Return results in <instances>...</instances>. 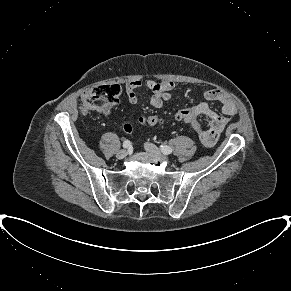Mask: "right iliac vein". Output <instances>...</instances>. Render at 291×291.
<instances>
[{
    "instance_id": "right-iliac-vein-1",
    "label": "right iliac vein",
    "mask_w": 291,
    "mask_h": 291,
    "mask_svg": "<svg viewBox=\"0 0 291 291\" xmlns=\"http://www.w3.org/2000/svg\"><path fill=\"white\" fill-rule=\"evenodd\" d=\"M127 154H128L127 150H125V149H121V150H119V151L117 152L116 157H117L118 159H123V158H125V157L127 156Z\"/></svg>"
}]
</instances>
